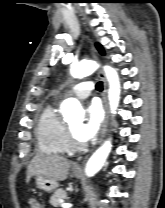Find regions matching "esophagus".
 Instances as JSON below:
<instances>
[{
	"label": "esophagus",
	"instance_id": "1",
	"mask_svg": "<svg viewBox=\"0 0 165 208\" xmlns=\"http://www.w3.org/2000/svg\"><path fill=\"white\" fill-rule=\"evenodd\" d=\"M92 54H93L94 58L97 59L96 50L94 48H92ZM98 74H99L100 78L103 81L102 99H103L104 110H105V118H104V122H103L102 129H101L100 139H99V142H98L100 144L102 142V140H103V137H104L105 133H106L107 123H108V104H107L108 84H107L104 72L102 70H99ZM74 169L75 170H80L81 169V165L75 166Z\"/></svg>",
	"mask_w": 165,
	"mask_h": 208
}]
</instances>
